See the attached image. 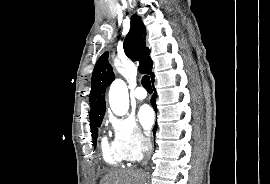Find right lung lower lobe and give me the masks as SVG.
I'll return each mask as SVG.
<instances>
[{
  "label": "right lung lower lobe",
  "instance_id": "right-lung-lower-lobe-1",
  "mask_svg": "<svg viewBox=\"0 0 270 184\" xmlns=\"http://www.w3.org/2000/svg\"><path fill=\"white\" fill-rule=\"evenodd\" d=\"M152 82H154V78L152 79ZM157 98V94L156 92L154 93V95L152 96V99H151V104L154 108V110L156 111V102H155V99ZM156 129H157V125H155L154 129H153V133L155 134L156 132Z\"/></svg>",
  "mask_w": 270,
  "mask_h": 184
}]
</instances>
